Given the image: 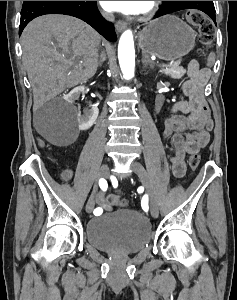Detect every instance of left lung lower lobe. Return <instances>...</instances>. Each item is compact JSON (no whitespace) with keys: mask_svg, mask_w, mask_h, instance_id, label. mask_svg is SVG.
<instances>
[{"mask_svg":"<svg viewBox=\"0 0 237 300\" xmlns=\"http://www.w3.org/2000/svg\"><path fill=\"white\" fill-rule=\"evenodd\" d=\"M184 9H198L206 13L216 24L215 8L213 1H173L164 8L156 17Z\"/></svg>","mask_w":237,"mask_h":300,"instance_id":"left-lung-lower-lobe-1","label":"left lung lower lobe"}]
</instances>
